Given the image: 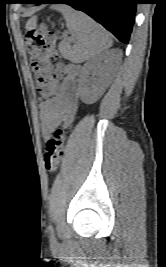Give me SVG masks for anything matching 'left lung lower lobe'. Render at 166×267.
<instances>
[{"instance_id": "1", "label": "left lung lower lobe", "mask_w": 166, "mask_h": 267, "mask_svg": "<svg viewBox=\"0 0 166 267\" xmlns=\"http://www.w3.org/2000/svg\"><path fill=\"white\" fill-rule=\"evenodd\" d=\"M21 3H64L83 11L128 43L138 0H23Z\"/></svg>"}]
</instances>
